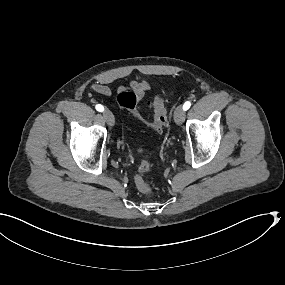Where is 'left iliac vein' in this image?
Returning a JSON list of instances; mask_svg holds the SVG:
<instances>
[{
    "label": "left iliac vein",
    "mask_w": 285,
    "mask_h": 285,
    "mask_svg": "<svg viewBox=\"0 0 285 285\" xmlns=\"http://www.w3.org/2000/svg\"><path fill=\"white\" fill-rule=\"evenodd\" d=\"M174 120L177 124H182L185 121V110L181 105L177 106L174 111Z\"/></svg>",
    "instance_id": "1"
}]
</instances>
